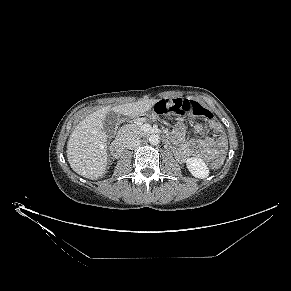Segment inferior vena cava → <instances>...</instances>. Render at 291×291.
<instances>
[{
	"label": "inferior vena cava",
	"instance_id": "obj_1",
	"mask_svg": "<svg viewBox=\"0 0 291 291\" xmlns=\"http://www.w3.org/2000/svg\"><path fill=\"white\" fill-rule=\"evenodd\" d=\"M141 144V140L139 137H131L126 141V147L128 149H135Z\"/></svg>",
	"mask_w": 291,
	"mask_h": 291
}]
</instances>
